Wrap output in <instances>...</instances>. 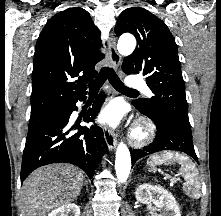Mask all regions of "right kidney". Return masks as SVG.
Returning a JSON list of instances; mask_svg holds the SVG:
<instances>
[{
  "label": "right kidney",
  "mask_w": 221,
  "mask_h": 216,
  "mask_svg": "<svg viewBox=\"0 0 221 216\" xmlns=\"http://www.w3.org/2000/svg\"><path fill=\"white\" fill-rule=\"evenodd\" d=\"M48 216H80V208L76 204H66L54 209Z\"/></svg>",
  "instance_id": "right-kidney-1"
}]
</instances>
